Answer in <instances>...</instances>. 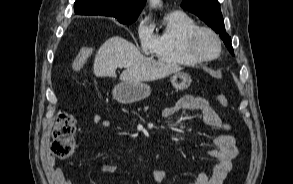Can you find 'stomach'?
Masks as SVG:
<instances>
[{"label":"stomach","mask_w":293,"mask_h":184,"mask_svg":"<svg viewBox=\"0 0 293 184\" xmlns=\"http://www.w3.org/2000/svg\"><path fill=\"white\" fill-rule=\"evenodd\" d=\"M192 78L185 72H176L171 76V83L176 90L187 89ZM151 93L149 85L142 81H123L113 89V97L122 104H131L147 98Z\"/></svg>","instance_id":"obj_1"}]
</instances>
